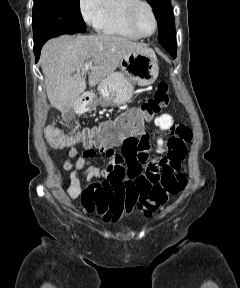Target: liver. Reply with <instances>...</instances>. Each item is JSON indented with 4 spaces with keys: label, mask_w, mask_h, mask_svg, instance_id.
Returning <instances> with one entry per match:
<instances>
[{
    "label": "liver",
    "mask_w": 240,
    "mask_h": 288,
    "mask_svg": "<svg viewBox=\"0 0 240 288\" xmlns=\"http://www.w3.org/2000/svg\"><path fill=\"white\" fill-rule=\"evenodd\" d=\"M134 51L155 55L142 43L114 35H63L49 40L42 48L40 64L50 104L62 114L69 113L86 89L81 70L88 61L92 63L88 83L93 87L114 73L124 55Z\"/></svg>",
    "instance_id": "1"
}]
</instances>
